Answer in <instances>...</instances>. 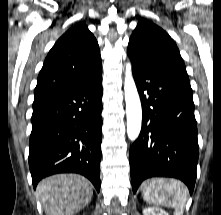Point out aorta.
I'll return each mask as SVG.
<instances>
[{
  "instance_id": "aorta-1",
  "label": "aorta",
  "mask_w": 221,
  "mask_h": 215,
  "mask_svg": "<svg viewBox=\"0 0 221 215\" xmlns=\"http://www.w3.org/2000/svg\"><path fill=\"white\" fill-rule=\"evenodd\" d=\"M124 93L127 115V135L132 141L139 136L142 123V108L138 91L132 76L131 64H126Z\"/></svg>"
}]
</instances>
